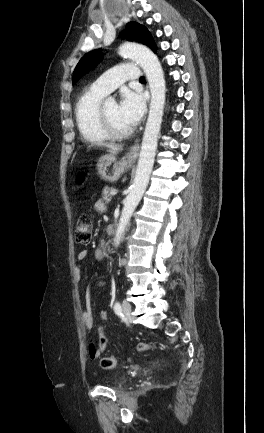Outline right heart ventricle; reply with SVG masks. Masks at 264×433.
Here are the masks:
<instances>
[{
    "instance_id": "right-heart-ventricle-1",
    "label": "right heart ventricle",
    "mask_w": 264,
    "mask_h": 433,
    "mask_svg": "<svg viewBox=\"0 0 264 433\" xmlns=\"http://www.w3.org/2000/svg\"><path fill=\"white\" fill-rule=\"evenodd\" d=\"M104 97L105 94L90 88L84 91L76 102V125L80 135L87 142L97 143L109 138L99 119V108Z\"/></svg>"
}]
</instances>
